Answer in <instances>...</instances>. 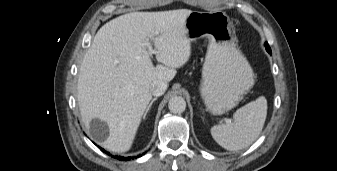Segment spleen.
Instances as JSON below:
<instances>
[{
    "instance_id": "1",
    "label": "spleen",
    "mask_w": 337,
    "mask_h": 171,
    "mask_svg": "<svg viewBox=\"0 0 337 171\" xmlns=\"http://www.w3.org/2000/svg\"><path fill=\"white\" fill-rule=\"evenodd\" d=\"M267 116V100L258 97L233 115V122L211 128L213 139L223 148L237 151L250 146L260 135Z\"/></svg>"
}]
</instances>
